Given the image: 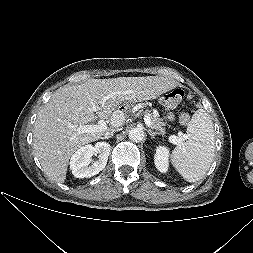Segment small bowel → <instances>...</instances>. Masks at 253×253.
Here are the masks:
<instances>
[{
  "label": "small bowel",
  "mask_w": 253,
  "mask_h": 253,
  "mask_svg": "<svg viewBox=\"0 0 253 253\" xmlns=\"http://www.w3.org/2000/svg\"><path fill=\"white\" fill-rule=\"evenodd\" d=\"M169 119H173V116H172V115H170V116H169Z\"/></svg>",
  "instance_id": "small-bowel-1"
}]
</instances>
